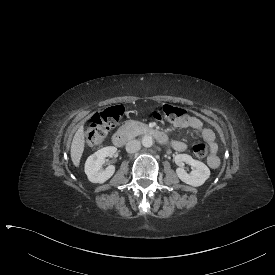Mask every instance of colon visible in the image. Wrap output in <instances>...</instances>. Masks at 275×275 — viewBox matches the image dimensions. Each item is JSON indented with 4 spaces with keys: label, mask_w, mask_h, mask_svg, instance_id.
I'll return each instance as SVG.
<instances>
[{
    "label": "colon",
    "mask_w": 275,
    "mask_h": 275,
    "mask_svg": "<svg viewBox=\"0 0 275 275\" xmlns=\"http://www.w3.org/2000/svg\"><path fill=\"white\" fill-rule=\"evenodd\" d=\"M124 113L122 104H115L106 107L94 114L84 128L85 140L89 147L99 148L108 130L115 125ZM187 115V110L171 104H164L160 109L151 112V117L157 121L174 122L183 119ZM193 152L197 158H205L208 154V145L199 142L193 147Z\"/></svg>",
    "instance_id": "5ec220e1"
}]
</instances>
